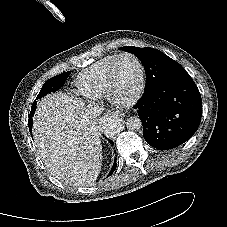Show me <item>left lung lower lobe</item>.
Returning a JSON list of instances; mask_svg holds the SVG:
<instances>
[{"label": "left lung lower lobe", "instance_id": "1", "mask_svg": "<svg viewBox=\"0 0 227 227\" xmlns=\"http://www.w3.org/2000/svg\"><path fill=\"white\" fill-rule=\"evenodd\" d=\"M145 141L157 149H172L189 140L202 114L200 92L185 71L144 90L137 101Z\"/></svg>", "mask_w": 227, "mask_h": 227}]
</instances>
